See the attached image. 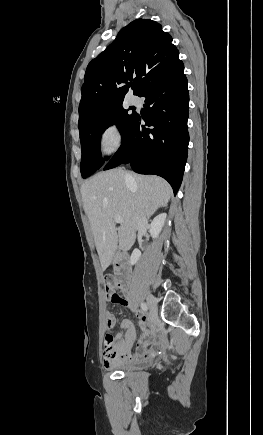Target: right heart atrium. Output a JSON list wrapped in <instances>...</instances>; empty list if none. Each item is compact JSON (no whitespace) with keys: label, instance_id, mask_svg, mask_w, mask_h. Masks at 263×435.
<instances>
[{"label":"right heart atrium","instance_id":"right-heart-atrium-1","mask_svg":"<svg viewBox=\"0 0 263 435\" xmlns=\"http://www.w3.org/2000/svg\"><path fill=\"white\" fill-rule=\"evenodd\" d=\"M124 139L123 130L119 123L110 122L102 130L99 147L103 155L112 156L121 147Z\"/></svg>","mask_w":263,"mask_h":435}]
</instances>
